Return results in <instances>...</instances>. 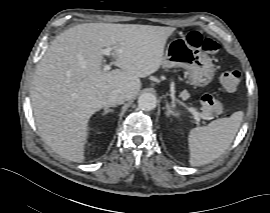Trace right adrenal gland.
<instances>
[{
	"label": "right adrenal gland",
	"instance_id": "right-adrenal-gland-1",
	"mask_svg": "<svg viewBox=\"0 0 270 213\" xmlns=\"http://www.w3.org/2000/svg\"><path fill=\"white\" fill-rule=\"evenodd\" d=\"M109 107H110V106H107V107L104 109V111H103V113H102L103 116L106 115V114H108V113H112V112H113V110L110 109Z\"/></svg>",
	"mask_w": 270,
	"mask_h": 213
}]
</instances>
